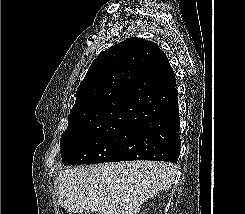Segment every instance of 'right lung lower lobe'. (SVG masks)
<instances>
[{
    "label": "right lung lower lobe",
    "instance_id": "98d812e1",
    "mask_svg": "<svg viewBox=\"0 0 245 214\" xmlns=\"http://www.w3.org/2000/svg\"><path fill=\"white\" fill-rule=\"evenodd\" d=\"M178 91L175 74L167 65L166 84L158 94H143L141 112L129 125L117 161L158 160L177 162L180 153Z\"/></svg>",
    "mask_w": 245,
    "mask_h": 214
}]
</instances>
